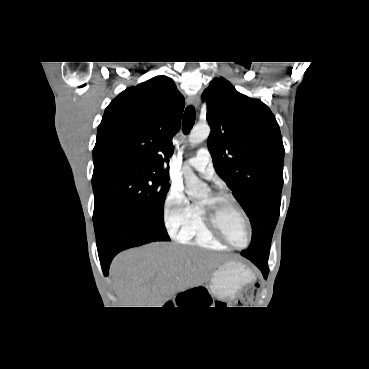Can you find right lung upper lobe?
<instances>
[{
    "label": "right lung upper lobe",
    "instance_id": "right-lung-upper-lobe-1",
    "mask_svg": "<svg viewBox=\"0 0 369 369\" xmlns=\"http://www.w3.org/2000/svg\"><path fill=\"white\" fill-rule=\"evenodd\" d=\"M184 97L172 79L156 76L120 93L106 108L93 150L94 166H135L167 175Z\"/></svg>",
    "mask_w": 369,
    "mask_h": 369
}]
</instances>
